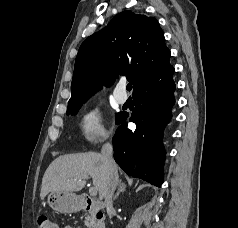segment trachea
Masks as SVG:
<instances>
[{
	"mask_svg": "<svg viewBox=\"0 0 238 228\" xmlns=\"http://www.w3.org/2000/svg\"><path fill=\"white\" fill-rule=\"evenodd\" d=\"M126 88H127L128 91H131V90H132V84H130V83L127 84V87H126Z\"/></svg>",
	"mask_w": 238,
	"mask_h": 228,
	"instance_id": "trachea-1",
	"label": "trachea"
}]
</instances>
